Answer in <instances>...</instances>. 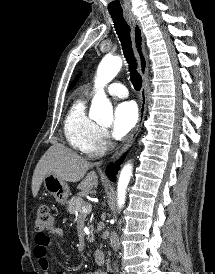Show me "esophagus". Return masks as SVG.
Returning a JSON list of instances; mask_svg holds the SVG:
<instances>
[{"label":"esophagus","mask_w":215,"mask_h":274,"mask_svg":"<svg viewBox=\"0 0 215 274\" xmlns=\"http://www.w3.org/2000/svg\"><path fill=\"white\" fill-rule=\"evenodd\" d=\"M125 16L132 29L133 44H134L135 53L139 63L140 73L143 77V86L141 88V94H140V98H141L140 111H139V119H138L137 125L134 131L132 132V134L130 135V137L128 138V140L126 141V143L122 146L120 151L115 155L114 159L118 158L122 153H124L132 145V143L138 136L145 118L146 104H147L146 93H147L148 61H147V54L145 49L144 34L142 31L141 25L134 14L126 13Z\"/></svg>","instance_id":"obj_1"}]
</instances>
